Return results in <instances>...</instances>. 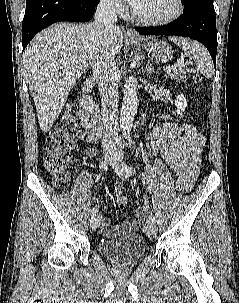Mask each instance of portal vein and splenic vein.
I'll use <instances>...</instances> for the list:
<instances>
[{"label":"portal vein and splenic vein","instance_id":"1","mask_svg":"<svg viewBox=\"0 0 239 303\" xmlns=\"http://www.w3.org/2000/svg\"><path fill=\"white\" fill-rule=\"evenodd\" d=\"M181 65H183V63L182 62H178V63H176L174 66H172V67H167V68H165L164 69V71L166 72V73H170V72H172L174 69H176L177 67H180Z\"/></svg>","mask_w":239,"mask_h":303}]
</instances>
